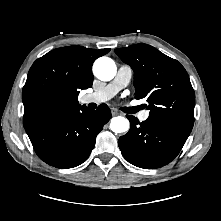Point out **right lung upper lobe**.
<instances>
[{"label": "right lung upper lobe", "mask_w": 221, "mask_h": 221, "mask_svg": "<svg viewBox=\"0 0 221 221\" xmlns=\"http://www.w3.org/2000/svg\"><path fill=\"white\" fill-rule=\"evenodd\" d=\"M110 51L69 46L52 50L31 66L22 91L27 126L79 106L80 90L92 86V64Z\"/></svg>", "instance_id": "cb5924a9"}]
</instances>
